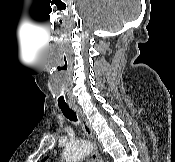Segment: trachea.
Listing matches in <instances>:
<instances>
[{
  "mask_svg": "<svg viewBox=\"0 0 175 162\" xmlns=\"http://www.w3.org/2000/svg\"><path fill=\"white\" fill-rule=\"evenodd\" d=\"M63 115L69 119L70 121H74L76 122L77 121V116H76V113L71 110L69 107H60Z\"/></svg>",
  "mask_w": 175,
  "mask_h": 162,
  "instance_id": "3493384b",
  "label": "trachea"
}]
</instances>
